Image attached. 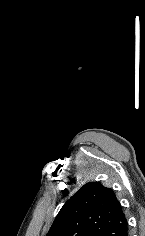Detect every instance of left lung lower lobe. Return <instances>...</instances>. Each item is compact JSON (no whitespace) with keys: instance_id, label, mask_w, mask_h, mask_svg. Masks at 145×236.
I'll use <instances>...</instances> for the list:
<instances>
[{"instance_id":"obj_1","label":"left lung lower lobe","mask_w":145,"mask_h":236,"mask_svg":"<svg viewBox=\"0 0 145 236\" xmlns=\"http://www.w3.org/2000/svg\"><path fill=\"white\" fill-rule=\"evenodd\" d=\"M122 236H128L127 230L124 232V234Z\"/></svg>"}]
</instances>
